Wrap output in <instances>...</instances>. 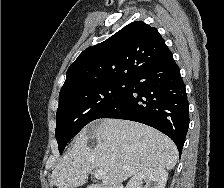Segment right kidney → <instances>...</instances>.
<instances>
[{"instance_id":"1","label":"right kidney","mask_w":224,"mask_h":188,"mask_svg":"<svg viewBox=\"0 0 224 188\" xmlns=\"http://www.w3.org/2000/svg\"><path fill=\"white\" fill-rule=\"evenodd\" d=\"M167 178L168 173L164 168L154 167L135 174L126 188H148L151 184L152 188H165ZM143 181L146 183L145 187H142Z\"/></svg>"}]
</instances>
